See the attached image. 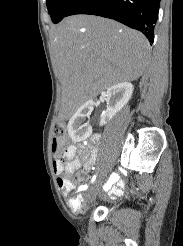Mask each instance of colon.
Instances as JSON below:
<instances>
[{
	"mask_svg": "<svg viewBox=\"0 0 183 246\" xmlns=\"http://www.w3.org/2000/svg\"><path fill=\"white\" fill-rule=\"evenodd\" d=\"M66 128L63 123H57L53 129L52 151L58 160L64 159L66 144H65ZM71 181V180H70ZM72 185L73 182L71 181ZM71 205L75 210H81L83 207V199L81 196H76L71 199Z\"/></svg>",
	"mask_w": 183,
	"mask_h": 246,
	"instance_id": "5ec220e1",
	"label": "colon"
}]
</instances>
